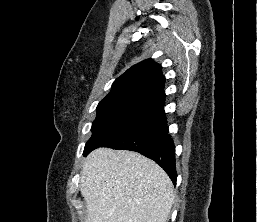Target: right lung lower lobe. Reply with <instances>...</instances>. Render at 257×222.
<instances>
[{
	"mask_svg": "<svg viewBox=\"0 0 257 222\" xmlns=\"http://www.w3.org/2000/svg\"><path fill=\"white\" fill-rule=\"evenodd\" d=\"M168 132L165 112L162 109L156 115L99 147L139 152L161 166L173 184H176L175 146ZM92 150L87 151L85 155Z\"/></svg>",
	"mask_w": 257,
	"mask_h": 222,
	"instance_id": "98d812e1",
	"label": "right lung lower lobe"
}]
</instances>
